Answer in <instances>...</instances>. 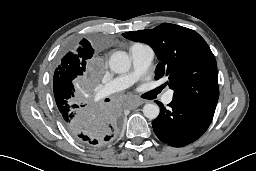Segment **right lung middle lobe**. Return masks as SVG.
I'll use <instances>...</instances> for the list:
<instances>
[{
  "mask_svg": "<svg viewBox=\"0 0 256 171\" xmlns=\"http://www.w3.org/2000/svg\"><path fill=\"white\" fill-rule=\"evenodd\" d=\"M85 67L80 65L71 55L67 53L61 64L55 70L53 77V90L55 101H68L70 105L89 101L87 89L79 84L78 77L82 75Z\"/></svg>",
  "mask_w": 256,
  "mask_h": 171,
  "instance_id": "1",
  "label": "right lung middle lobe"
}]
</instances>
